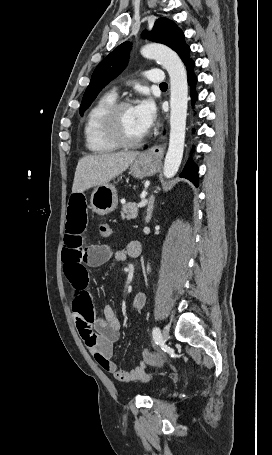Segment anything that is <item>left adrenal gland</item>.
I'll return each mask as SVG.
<instances>
[{
  "mask_svg": "<svg viewBox=\"0 0 272 455\" xmlns=\"http://www.w3.org/2000/svg\"><path fill=\"white\" fill-rule=\"evenodd\" d=\"M154 209V197L151 196L148 202V208H147V215H146V223H149L151 218H152V212Z\"/></svg>",
  "mask_w": 272,
  "mask_h": 455,
  "instance_id": "1",
  "label": "left adrenal gland"
}]
</instances>
